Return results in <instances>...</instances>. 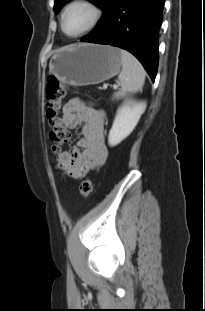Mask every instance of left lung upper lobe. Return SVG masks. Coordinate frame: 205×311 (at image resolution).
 <instances>
[{
  "label": "left lung upper lobe",
  "mask_w": 205,
  "mask_h": 311,
  "mask_svg": "<svg viewBox=\"0 0 205 311\" xmlns=\"http://www.w3.org/2000/svg\"><path fill=\"white\" fill-rule=\"evenodd\" d=\"M70 0H55L54 3V10L55 12H58V10ZM92 3L96 4L98 7L104 9V17L109 13L112 4L115 0H89Z\"/></svg>",
  "instance_id": "5c2ea615"
}]
</instances>
